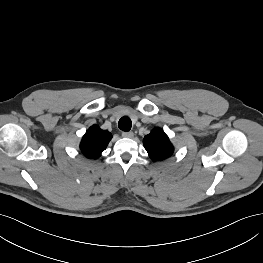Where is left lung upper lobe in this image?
Wrapping results in <instances>:
<instances>
[{
    "label": "left lung upper lobe",
    "mask_w": 263,
    "mask_h": 263,
    "mask_svg": "<svg viewBox=\"0 0 263 263\" xmlns=\"http://www.w3.org/2000/svg\"><path fill=\"white\" fill-rule=\"evenodd\" d=\"M143 144L153 161H160L170 157L174 151L168 136L161 128H155L143 139Z\"/></svg>",
    "instance_id": "left-lung-upper-lobe-1"
}]
</instances>
